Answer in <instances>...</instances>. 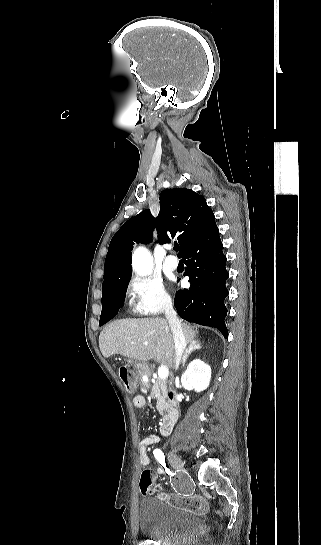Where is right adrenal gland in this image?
<instances>
[{
    "mask_svg": "<svg viewBox=\"0 0 321 545\" xmlns=\"http://www.w3.org/2000/svg\"><path fill=\"white\" fill-rule=\"evenodd\" d=\"M199 349H202L201 347V343H199V341H194V339H192L191 343H189V347L188 349H186L185 351V355L182 359V367H185V363L188 359V357H190L191 353H193V351H199Z\"/></svg>",
    "mask_w": 321,
    "mask_h": 545,
    "instance_id": "right-adrenal-gland-1",
    "label": "right adrenal gland"
}]
</instances>
